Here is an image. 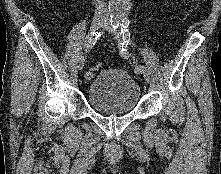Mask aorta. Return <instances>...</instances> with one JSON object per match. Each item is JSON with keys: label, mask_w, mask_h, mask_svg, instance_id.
Wrapping results in <instances>:
<instances>
[{"label": "aorta", "mask_w": 221, "mask_h": 174, "mask_svg": "<svg viewBox=\"0 0 221 174\" xmlns=\"http://www.w3.org/2000/svg\"><path fill=\"white\" fill-rule=\"evenodd\" d=\"M131 0H109V11L114 21H126L131 8Z\"/></svg>", "instance_id": "762f6f07"}]
</instances>
